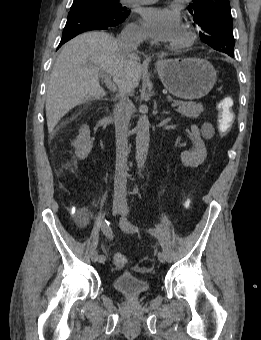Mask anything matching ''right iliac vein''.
Here are the masks:
<instances>
[{"label":"right iliac vein","instance_id":"right-iliac-vein-1","mask_svg":"<svg viewBox=\"0 0 261 340\" xmlns=\"http://www.w3.org/2000/svg\"><path fill=\"white\" fill-rule=\"evenodd\" d=\"M123 209V204L121 201L119 200H115L113 202V205H112V213L114 215L120 213ZM98 256H99V253L97 250H94L92 251L91 255H90V260L92 263H96L98 261Z\"/></svg>","mask_w":261,"mask_h":340}]
</instances>
